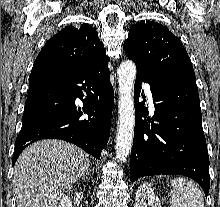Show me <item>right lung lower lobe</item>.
I'll list each match as a JSON object with an SVG mask.
<instances>
[{
  "mask_svg": "<svg viewBox=\"0 0 220 207\" xmlns=\"http://www.w3.org/2000/svg\"><path fill=\"white\" fill-rule=\"evenodd\" d=\"M108 61L102 58L73 72L31 71L13 165L25 147L48 138L71 142L99 159L109 139L114 105ZM76 98L83 101L82 108L75 105Z\"/></svg>",
  "mask_w": 220,
  "mask_h": 207,
  "instance_id": "right-lung-lower-lobe-1",
  "label": "right lung lower lobe"
}]
</instances>
